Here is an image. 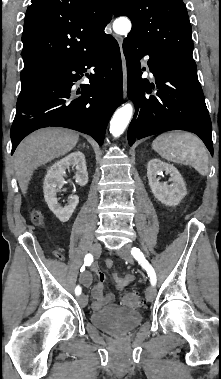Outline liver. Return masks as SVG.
I'll use <instances>...</instances> for the list:
<instances>
[{
  "mask_svg": "<svg viewBox=\"0 0 221 379\" xmlns=\"http://www.w3.org/2000/svg\"><path fill=\"white\" fill-rule=\"evenodd\" d=\"M79 135L68 129L45 128L26 137L14 153V168L22 193H27L34 170L70 152Z\"/></svg>",
  "mask_w": 221,
  "mask_h": 379,
  "instance_id": "obj_1",
  "label": "liver"
}]
</instances>
